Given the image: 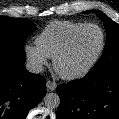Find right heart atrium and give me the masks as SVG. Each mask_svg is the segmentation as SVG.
Returning <instances> with one entry per match:
<instances>
[{
    "label": "right heart atrium",
    "instance_id": "d8ad5b80",
    "mask_svg": "<svg viewBox=\"0 0 119 119\" xmlns=\"http://www.w3.org/2000/svg\"><path fill=\"white\" fill-rule=\"evenodd\" d=\"M26 57L35 70H41L48 62V57L37 45L27 44L24 47Z\"/></svg>",
    "mask_w": 119,
    "mask_h": 119
}]
</instances>
